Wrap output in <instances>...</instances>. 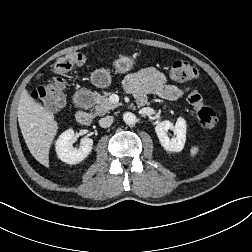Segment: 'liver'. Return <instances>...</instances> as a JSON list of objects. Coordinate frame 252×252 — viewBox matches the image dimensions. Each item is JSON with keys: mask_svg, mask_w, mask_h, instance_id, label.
I'll use <instances>...</instances> for the list:
<instances>
[{"mask_svg": "<svg viewBox=\"0 0 252 252\" xmlns=\"http://www.w3.org/2000/svg\"><path fill=\"white\" fill-rule=\"evenodd\" d=\"M17 113L21 133L30 153L40 164L49 167L50 146L58 131L54 114L36 102L27 91L20 96Z\"/></svg>", "mask_w": 252, "mask_h": 252, "instance_id": "obj_1", "label": "liver"}]
</instances>
